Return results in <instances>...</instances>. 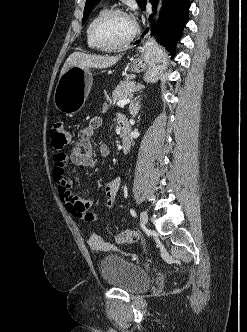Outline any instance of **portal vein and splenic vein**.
I'll list each match as a JSON object with an SVG mask.
<instances>
[{"mask_svg": "<svg viewBox=\"0 0 247 332\" xmlns=\"http://www.w3.org/2000/svg\"><path fill=\"white\" fill-rule=\"evenodd\" d=\"M130 99H122V100H119L117 102V106L119 107H124L125 105H127L128 103H130Z\"/></svg>", "mask_w": 247, "mask_h": 332, "instance_id": "portal-vein-and-splenic-vein-1", "label": "portal vein and splenic vein"}]
</instances>
